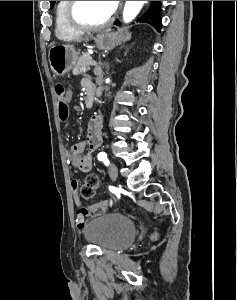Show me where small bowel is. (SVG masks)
<instances>
[{
	"label": "small bowel",
	"mask_w": 237,
	"mask_h": 300,
	"mask_svg": "<svg viewBox=\"0 0 237 300\" xmlns=\"http://www.w3.org/2000/svg\"><path fill=\"white\" fill-rule=\"evenodd\" d=\"M83 87L87 90H93V84L89 80L83 81ZM72 92L67 91L66 99L72 100ZM102 125L103 117L97 114L91 118L87 126V135L84 141L73 144L70 148L72 164L82 172H88L92 168V153L98 149L102 143ZM79 182L72 180L71 187L74 192L77 191ZM76 223L78 228H83L86 224L87 217L91 214L105 210L108 207L107 201H101L93 205L84 206L76 195Z\"/></svg>",
	"instance_id": "1"
}]
</instances>
